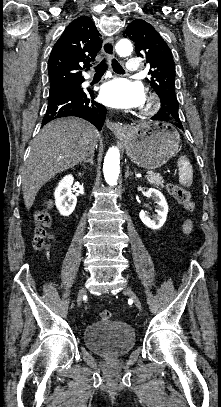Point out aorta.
<instances>
[{
	"label": "aorta",
	"instance_id": "aorta-1",
	"mask_svg": "<svg viewBox=\"0 0 221 407\" xmlns=\"http://www.w3.org/2000/svg\"><path fill=\"white\" fill-rule=\"evenodd\" d=\"M116 52L124 57L131 54L133 47L128 39H121L116 44ZM120 168V153L117 147H111L104 158L103 173L105 181L108 185L114 186L117 184Z\"/></svg>",
	"mask_w": 221,
	"mask_h": 407
}]
</instances>
